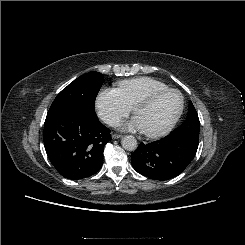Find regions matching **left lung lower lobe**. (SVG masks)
Instances as JSON below:
<instances>
[{
    "label": "left lung lower lobe",
    "instance_id": "left-lung-lower-lobe-1",
    "mask_svg": "<svg viewBox=\"0 0 245 245\" xmlns=\"http://www.w3.org/2000/svg\"><path fill=\"white\" fill-rule=\"evenodd\" d=\"M199 140L167 137L148 144L141 143L131 154L133 168L140 174L154 179L174 178L193 160Z\"/></svg>",
    "mask_w": 245,
    "mask_h": 245
}]
</instances>
